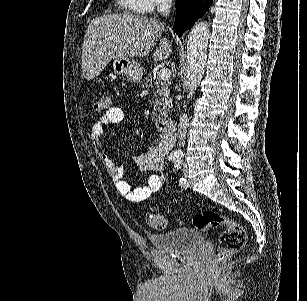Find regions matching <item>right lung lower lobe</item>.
<instances>
[{
    "instance_id": "right-lung-lower-lobe-1",
    "label": "right lung lower lobe",
    "mask_w": 307,
    "mask_h": 301,
    "mask_svg": "<svg viewBox=\"0 0 307 301\" xmlns=\"http://www.w3.org/2000/svg\"><path fill=\"white\" fill-rule=\"evenodd\" d=\"M213 0H178L176 2V18L174 31L181 36L192 27L210 8Z\"/></svg>"
}]
</instances>
